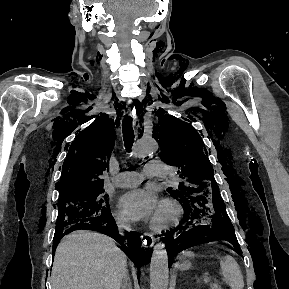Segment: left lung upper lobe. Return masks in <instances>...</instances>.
Here are the masks:
<instances>
[{"label": "left lung upper lobe", "instance_id": "left-lung-upper-lobe-1", "mask_svg": "<svg viewBox=\"0 0 289 289\" xmlns=\"http://www.w3.org/2000/svg\"><path fill=\"white\" fill-rule=\"evenodd\" d=\"M158 111L159 125L153 127V136L160 146L159 156L165 163L179 168V187L168 188V192L181 204L195 197L207 203L216 198L222 200L207 159L208 152L198 132L189 123L166 115L162 109Z\"/></svg>", "mask_w": 289, "mask_h": 289}]
</instances>
